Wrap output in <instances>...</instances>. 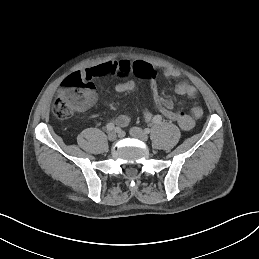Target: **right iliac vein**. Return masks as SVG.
<instances>
[{
    "instance_id": "obj_1",
    "label": "right iliac vein",
    "mask_w": 259,
    "mask_h": 259,
    "mask_svg": "<svg viewBox=\"0 0 259 259\" xmlns=\"http://www.w3.org/2000/svg\"><path fill=\"white\" fill-rule=\"evenodd\" d=\"M116 138H117V135H116L115 132H109V133H108V139H109L110 141H114V140H116Z\"/></svg>"
}]
</instances>
